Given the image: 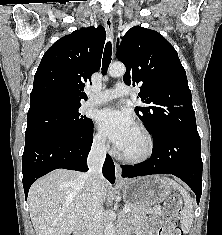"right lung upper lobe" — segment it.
<instances>
[{"label": "right lung upper lobe", "mask_w": 222, "mask_h": 235, "mask_svg": "<svg viewBox=\"0 0 222 235\" xmlns=\"http://www.w3.org/2000/svg\"><path fill=\"white\" fill-rule=\"evenodd\" d=\"M105 38L102 26L81 28L46 51L34 76L27 117L87 99L83 88L100 68Z\"/></svg>", "instance_id": "1"}]
</instances>
